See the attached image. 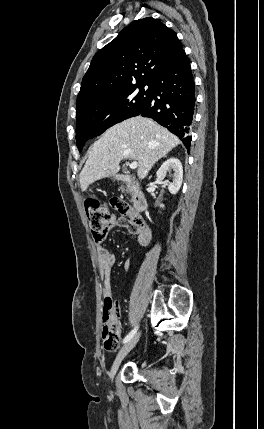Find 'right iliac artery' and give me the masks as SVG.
<instances>
[{
  "instance_id": "1",
  "label": "right iliac artery",
  "mask_w": 264,
  "mask_h": 429,
  "mask_svg": "<svg viewBox=\"0 0 264 429\" xmlns=\"http://www.w3.org/2000/svg\"><path fill=\"white\" fill-rule=\"evenodd\" d=\"M138 327H135L123 340V343H127L136 333Z\"/></svg>"
}]
</instances>
